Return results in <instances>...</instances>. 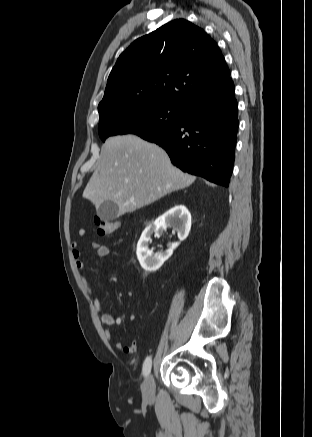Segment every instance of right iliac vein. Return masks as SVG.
I'll list each match as a JSON object with an SVG mask.
<instances>
[{"label":"right iliac vein","mask_w":312,"mask_h":437,"mask_svg":"<svg viewBox=\"0 0 312 437\" xmlns=\"http://www.w3.org/2000/svg\"><path fill=\"white\" fill-rule=\"evenodd\" d=\"M154 378L152 374L148 375L142 384V393L145 399L151 401L154 398Z\"/></svg>","instance_id":"1"}]
</instances>
